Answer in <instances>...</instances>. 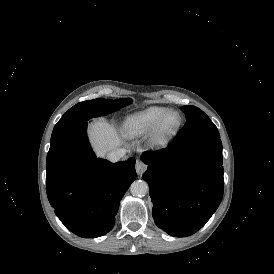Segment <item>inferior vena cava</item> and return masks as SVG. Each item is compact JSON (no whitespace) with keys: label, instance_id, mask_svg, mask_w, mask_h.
<instances>
[{"label":"inferior vena cava","instance_id":"inferior-vena-cava-1","mask_svg":"<svg viewBox=\"0 0 274 274\" xmlns=\"http://www.w3.org/2000/svg\"><path fill=\"white\" fill-rule=\"evenodd\" d=\"M126 154V149L124 148H118L115 151H111L107 154L108 160L111 162H117L119 161L124 155Z\"/></svg>","mask_w":274,"mask_h":274}]
</instances>
